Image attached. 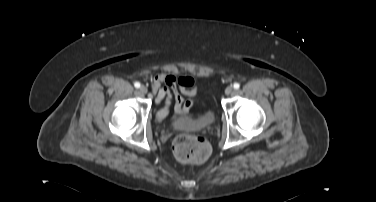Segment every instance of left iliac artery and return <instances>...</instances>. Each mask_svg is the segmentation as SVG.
Here are the masks:
<instances>
[{
	"instance_id": "1",
	"label": "left iliac artery",
	"mask_w": 376,
	"mask_h": 202,
	"mask_svg": "<svg viewBox=\"0 0 376 202\" xmlns=\"http://www.w3.org/2000/svg\"><path fill=\"white\" fill-rule=\"evenodd\" d=\"M233 87H234V89H239L240 84L239 83H234Z\"/></svg>"
}]
</instances>
